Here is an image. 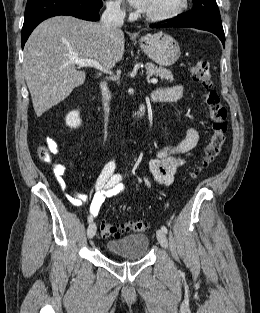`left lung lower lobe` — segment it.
<instances>
[{"mask_svg":"<svg viewBox=\"0 0 260 313\" xmlns=\"http://www.w3.org/2000/svg\"><path fill=\"white\" fill-rule=\"evenodd\" d=\"M152 28H165V27H193L201 30H207L209 32L214 33L219 37L223 45H225V35H224V30L221 27H215V26H209V25H200L196 23H192L187 21L186 19H179L176 21H172L167 24H162V25H154L151 26Z\"/></svg>","mask_w":260,"mask_h":313,"instance_id":"0a47b994","label":"left lung lower lobe"}]
</instances>
